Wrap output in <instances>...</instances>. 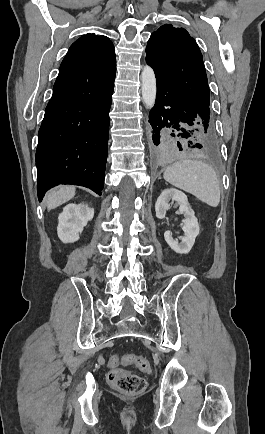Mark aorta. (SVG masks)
<instances>
[{"instance_id": "aorta-1", "label": "aorta", "mask_w": 265, "mask_h": 434, "mask_svg": "<svg viewBox=\"0 0 265 434\" xmlns=\"http://www.w3.org/2000/svg\"><path fill=\"white\" fill-rule=\"evenodd\" d=\"M141 82L143 104L147 110H152L155 106L157 86L155 74L150 66H144L141 72Z\"/></svg>"}]
</instances>
